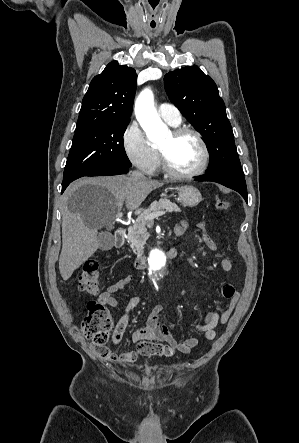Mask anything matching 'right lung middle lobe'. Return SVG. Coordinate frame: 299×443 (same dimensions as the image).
Listing matches in <instances>:
<instances>
[{
  "label": "right lung middle lobe",
  "instance_id": "right-lung-middle-lobe-1",
  "mask_svg": "<svg viewBox=\"0 0 299 443\" xmlns=\"http://www.w3.org/2000/svg\"><path fill=\"white\" fill-rule=\"evenodd\" d=\"M130 121H107L75 130L64 170L63 183H70L97 170L130 163L123 135Z\"/></svg>",
  "mask_w": 299,
  "mask_h": 443
}]
</instances>
